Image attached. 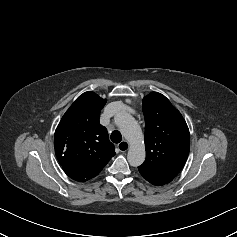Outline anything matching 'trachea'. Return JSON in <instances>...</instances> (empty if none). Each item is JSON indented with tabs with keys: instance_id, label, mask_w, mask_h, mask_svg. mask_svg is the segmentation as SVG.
Returning a JSON list of instances; mask_svg holds the SVG:
<instances>
[{
	"instance_id": "3493384b",
	"label": "trachea",
	"mask_w": 237,
	"mask_h": 237,
	"mask_svg": "<svg viewBox=\"0 0 237 237\" xmlns=\"http://www.w3.org/2000/svg\"><path fill=\"white\" fill-rule=\"evenodd\" d=\"M111 140L114 143H119L122 140V135L119 131L115 130L111 133Z\"/></svg>"
}]
</instances>
